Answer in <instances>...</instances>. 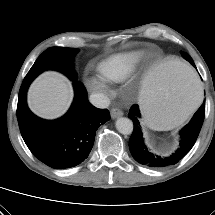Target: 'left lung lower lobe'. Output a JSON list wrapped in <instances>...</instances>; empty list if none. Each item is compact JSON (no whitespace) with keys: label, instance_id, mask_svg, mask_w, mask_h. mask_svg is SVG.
I'll list each match as a JSON object with an SVG mask.
<instances>
[{"label":"left lung lower lobe","instance_id":"left-lung-lower-lobe-1","mask_svg":"<svg viewBox=\"0 0 215 215\" xmlns=\"http://www.w3.org/2000/svg\"><path fill=\"white\" fill-rule=\"evenodd\" d=\"M205 115V102L194 114L192 120L181 131L179 148L168 156L157 155L151 152L145 145L138 118L140 112L138 105L130 109L129 118L134 123V130L129 140V148L133 158L140 164L153 168H163L180 161L195 144L201 130Z\"/></svg>","mask_w":215,"mask_h":215}]
</instances>
